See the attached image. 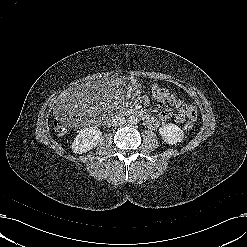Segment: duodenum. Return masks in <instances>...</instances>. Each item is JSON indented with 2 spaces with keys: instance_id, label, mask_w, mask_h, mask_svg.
<instances>
[{
  "instance_id": "obj_1",
  "label": "duodenum",
  "mask_w": 247,
  "mask_h": 247,
  "mask_svg": "<svg viewBox=\"0 0 247 247\" xmlns=\"http://www.w3.org/2000/svg\"><path fill=\"white\" fill-rule=\"evenodd\" d=\"M128 116H136L143 120L146 123H151L152 118L150 115H148L146 112L140 110V109H130L129 111L126 112ZM120 115H114L112 118H118Z\"/></svg>"
}]
</instances>
